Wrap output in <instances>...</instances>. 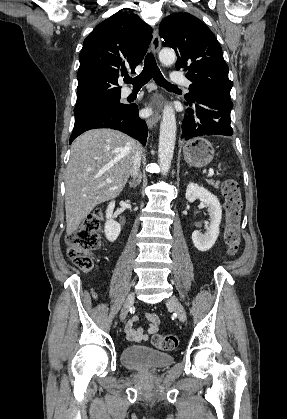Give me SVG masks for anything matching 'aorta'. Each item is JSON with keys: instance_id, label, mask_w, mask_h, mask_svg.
Here are the masks:
<instances>
[{"instance_id": "762f6f07", "label": "aorta", "mask_w": 287, "mask_h": 419, "mask_svg": "<svg viewBox=\"0 0 287 419\" xmlns=\"http://www.w3.org/2000/svg\"><path fill=\"white\" fill-rule=\"evenodd\" d=\"M159 59L165 66L172 65L176 60L175 52L172 49H162ZM176 118L172 106L164 107L162 120L160 123L159 135V166L161 173L166 175L170 169L176 141Z\"/></svg>"}]
</instances>
